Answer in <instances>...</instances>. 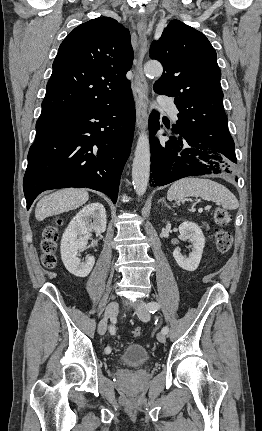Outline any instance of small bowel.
<instances>
[{
	"instance_id": "c3829d8e",
	"label": "small bowel",
	"mask_w": 262,
	"mask_h": 431,
	"mask_svg": "<svg viewBox=\"0 0 262 431\" xmlns=\"http://www.w3.org/2000/svg\"><path fill=\"white\" fill-rule=\"evenodd\" d=\"M204 225H205V226H208V224H207V223H204Z\"/></svg>"
}]
</instances>
